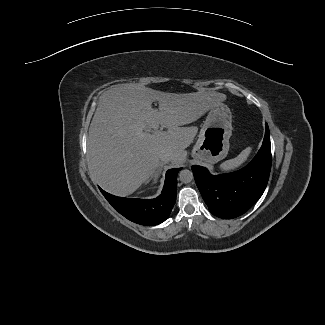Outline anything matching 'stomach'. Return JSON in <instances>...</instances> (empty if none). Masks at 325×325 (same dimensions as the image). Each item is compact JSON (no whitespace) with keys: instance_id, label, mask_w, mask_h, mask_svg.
Segmentation results:
<instances>
[{"instance_id":"0dacf381","label":"stomach","mask_w":325,"mask_h":325,"mask_svg":"<svg viewBox=\"0 0 325 325\" xmlns=\"http://www.w3.org/2000/svg\"><path fill=\"white\" fill-rule=\"evenodd\" d=\"M232 134V114L227 105L212 107L200 130L192 157L204 164H214L224 159L229 151Z\"/></svg>"}]
</instances>
